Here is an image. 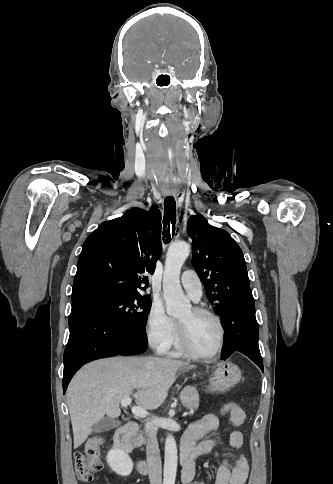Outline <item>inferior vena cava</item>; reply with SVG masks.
Wrapping results in <instances>:
<instances>
[{"label":"inferior vena cava","instance_id":"1","mask_svg":"<svg viewBox=\"0 0 333 484\" xmlns=\"http://www.w3.org/2000/svg\"><path fill=\"white\" fill-rule=\"evenodd\" d=\"M147 432L146 455L150 484H162V464L157 441V427L152 422L145 424Z\"/></svg>","mask_w":333,"mask_h":484}]
</instances>
